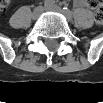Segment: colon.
Here are the masks:
<instances>
[{
    "mask_svg": "<svg viewBox=\"0 0 103 103\" xmlns=\"http://www.w3.org/2000/svg\"><path fill=\"white\" fill-rule=\"evenodd\" d=\"M89 7L93 8L96 12L95 20L98 24L103 22V6L99 2L91 1L87 3ZM9 5L8 1L2 2V8L5 9Z\"/></svg>",
    "mask_w": 103,
    "mask_h": 103,
    "instance_id": "5ec220e1",
    "label": "colon"
}]
</instances>
